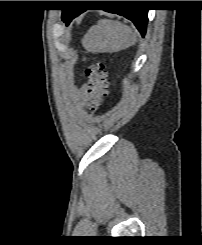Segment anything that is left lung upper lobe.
<instances>
[{"instance_id":"5c2ea615","label":"left lung upper lobe","mask_w":202,"mask_h":245,"mask_svg":"<svg viewBox=\"0 0 202 245\" xmlns=\"http://www.w3.org/2000/svg\"><path fill=\"white\" fill-rule=\"evenodd\" d=\"M66 17H63V15H62V20L64 21V19H65Z\"/></svg>"}]
</instances>
